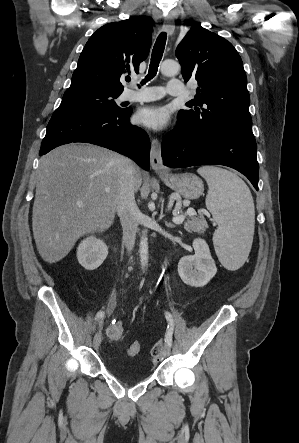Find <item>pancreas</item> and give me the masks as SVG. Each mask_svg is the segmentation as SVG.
<instances>
[{
	"label": "pancreas",
	"mask_w": 299,
	"mask_h": 443,
	"mask_svg": "<svg viewBox=\"0 0 299 443\" xmlns=\"http://www.w3.org/2000/svg\"><path fill=\"white\" fill-rule=\"evenodd\" d=\"M180 216L187 218V221L184 223V228L188 232H196L198 234H203L208 227V224L204 217H195L189 216L186 213H181Z\"/></svg>",
	"instance_id": "cf45deb5"
}]
</instances>
